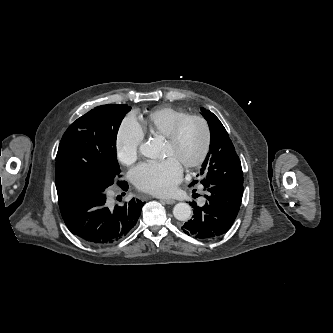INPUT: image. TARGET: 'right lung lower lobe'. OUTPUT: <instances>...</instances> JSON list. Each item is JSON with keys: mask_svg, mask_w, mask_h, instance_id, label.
I'll list each match as a JSON object with an SVG mask.
<instances>
[{"mask_svg": "<svg viewBox=\"0 0 333 333\" xmlns=\"http://www.w3.org/2000/svg\"><path fill=\"white\" fill-rule=\"evenodd\" d=\"M126 191L128 184L118 180ZM59 207L68 229L92 245H109L124 238L136 225L145 202L132 198L109 209L104 191L82 189L58 196Z\"/></svg>", "mask_w": 333, "mask_h": 333, "instance_id": "right-lung-lower-lobe-1", "label": "right lung lower lobe"}]
</instances>
